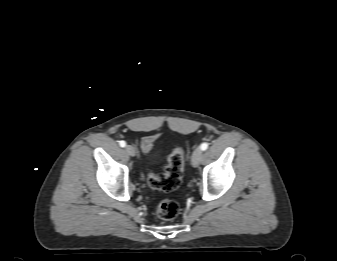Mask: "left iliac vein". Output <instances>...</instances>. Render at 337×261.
Here are the masks:
<instances>
[{
  "instance_id": "1",
  "label": "left iliac vein",
  "mask_w": 337,
  "mask_h": 261,
  "mask_svg": "<svg viewBox=\"0 0 337 261\" xmlns=\"http://www.w3.org/2000/svg\"><path fill=\"white\" fill-rule=\"evenodd\" d=\"M203 152L200 148H196L191 156V163L194 167H197L202 159Z\"/></svg>"
}]
</instances>
